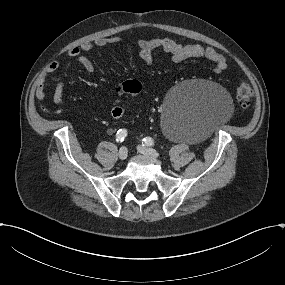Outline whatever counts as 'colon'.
Instances as JSON below:
<instances>
[{"label":"colon","instance_id":"colon-1","mask_svg":"<svg viewBox=\"0 0 285 285\" xmlns=\"http://www.w3.org/2000/svg\"><path fill=\"white\" fill-rule=\"evenodd\" d=\"M142 90L141 83L136 79H128L124 81L119 88L122 94L136 96ZM253 91L247 82H241L234 91L233 100L236 106L246 107L252 98ZM125 107L123 103H119L113 107L111 115L114 119H119L123 116Z\"/></svg>","mask_w":285,"mask_h":285}]
</instances>
